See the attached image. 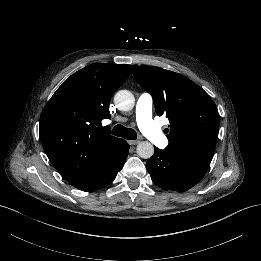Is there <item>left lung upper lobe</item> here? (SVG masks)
<instances>
[{"label": "left lung upper lobe", "mask_w": 261, "mask_h": 261, "mask_svg": "<svg viewBox=\"0 0 261 261\" xmlns=\"http://www.w3.org/2000/svg\"><path fill=\"white\" fill-rule=\"evenodd\" d=\"M134 77L152 97L158 116L166 115V149L213 158L219 114L211 97L187 77L155 66H134Z\"/></svg>", "instance_id": "left-lung-upper-lobe-1"}]
</instances>
